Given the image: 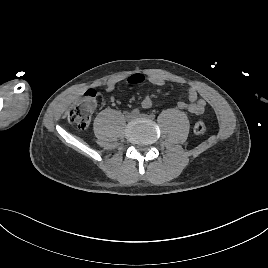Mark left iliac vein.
<instances>
[{
    "mask_svg": "<svg viewBox=\"0 0 268 268\" xmlns=\"http://www.w3.org/2000/svg\"><path fill=\"white\" fill-rule=\"evenodd\" d=\"M136 117H140V118H150L148 115L146 114H139V115H136Z\"/></svg>",
    "mask_w": 268,
    "mask_h": 268,
    "instance_id": "4c4485c4",
    "label": "left iliac vein"
}]
</instances>
